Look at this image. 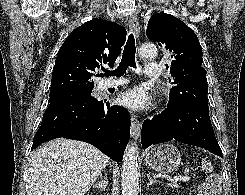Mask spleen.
I'll return each instance as SVG.
<instances>
[{
  "instance_id": "obj_1",
  "label": "spleen",
  "mask_w": 245,
  "mask_h": 195,
  "mask_svg": "<svg viewBox=\"0 0 245 195\" xmlns=\"http://www.w3.org/2000/svg\"><path fill=\"white\" fill-rule=\"evenodd\" d=\"M202 167L204 170H206L208 172H213V170H214L211 162H208L205 158L202 159Z\"/></svg>"
}]
</instances>
